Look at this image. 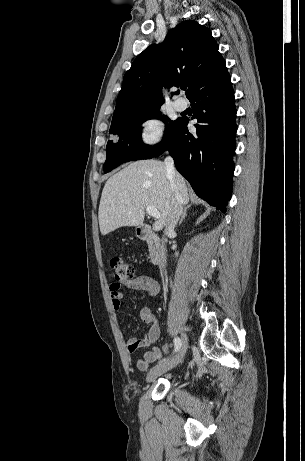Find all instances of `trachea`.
Returning <instances> with one entry per match:
<instances>
[{
	"instance_id": "1",
	"label": "trachea",
	"mask_w": 305,
	"mask_h": 461,
	"mask_svg": "<svg viewBox=\"0 0 305 461\" xmlns=\"http://www.w3.org/2000/svg\"><path fill=\"white\" fill-rule=\"evenodd\" d=\"M182 90H186V87H182Z\"/></svg>"
}]
</instances>
